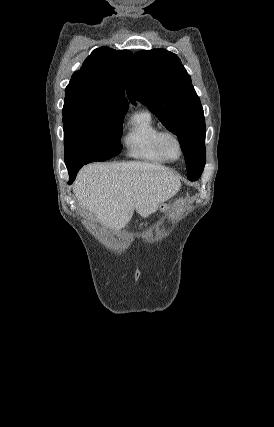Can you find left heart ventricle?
<instances>
[{"label":"left heart ventricle","instance_id":"left-heart-ventricle-1","mask_svg":"<svg viewBox=\"0 0 274 427\" xmlns=\"http://www.w3.org/2000/svg\"><path fill=\"white\" fill-rule=\"evenodd\" d=\"M165 148L167 153L173 157V158H178L180 155V149L178 146L177 141L172 138V137H167L165 139Z\"/></svg>","mask_w":274,"mask_h":427}]
</instances>
